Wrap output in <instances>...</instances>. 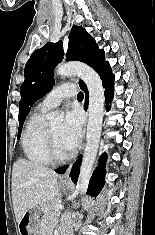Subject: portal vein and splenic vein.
I'll return each mask as SVG.
<instances>
[{"mask_svg":"<svg viewBox=\"0 0 155 235\" xmlns=\"http://www.w3.org/2000/svg\"><path fill=\"white\" fill-rule=\"evenodd\" d=\"M60 209H63V206L61 204L55 206L56 211H59Z\"/></svg>","mask_w":155,"mask_h":235,"instance_id":"portal-vein-and-splenic-vein-1","label":"portal vein and splenic vein"}]
</instances>
